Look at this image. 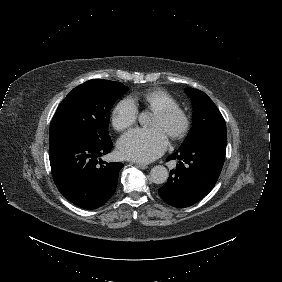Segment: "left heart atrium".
Instances as JSON below:
<instances>
[{
	"instance_id": "1",
	"label": "left heart atrium",
	"mask_w": 282,
	"mask_h": 282,
	"mask_svg": "<svg viewBox=\"0 0 282 282\" xmlns=\"http://www.w3.org/2000/svg\"><path fill=\"white\" fill-rule=\"evenodd\" d=\"M166 146L167 137L161 128L135 129L120 138L118 151L125 159L147 163L159 157Z\"/></svg>"
}]
</instances>
